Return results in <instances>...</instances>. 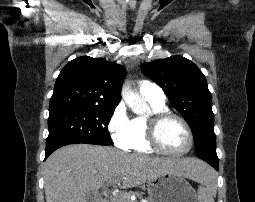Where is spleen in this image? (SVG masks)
I'll use <instances>...</instances> for the list:
<instances>
[{"label":"spleen","instance_id":"3e777b00","mask_svg":"<svg viewBox=\"0 0 255 202\" xmlns=\"http://www.w3.org/2000/svg\"><path fill=\"white\" fill-rule=\"evenodd\" d=\"M198 202H214V197L217 192V175L205 165H198Z\"/></svg>","mask_w":255,"mask_h":202}]
</instances>
